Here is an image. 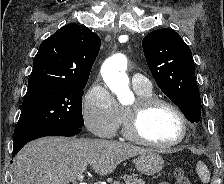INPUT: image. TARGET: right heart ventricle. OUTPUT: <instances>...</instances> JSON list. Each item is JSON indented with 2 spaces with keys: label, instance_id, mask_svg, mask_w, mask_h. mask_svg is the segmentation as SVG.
<instances>
[{
  "label": "right heart ventricle",
  "instance_id": "obj_1",
  "mask_svg": "<svg viewBox=\"0 0 224 184\" xmlns=\"http://www.w3.org/2000/svg\"><path fill=\"white\" fill-rule=\"evenodd\" d=\"M136 93L138 94L139 97H149L152 96V90H139L135 89ZM125 117H126V109L122 108L121 109V122L120 125L124 126L125 123Z\"/></svg>",
  "mask_w": 224,
  "mask_h": 184
}]
</instances>
